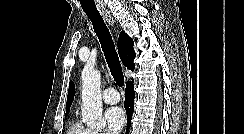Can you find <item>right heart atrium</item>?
Masks as SVG:
<instances>
[{
  "mask_svg": "<svg viewBox=\"0 0 244 134\" xmlns=\"http://www.w3.org/2000/svg\"><path fill=\"white\" fill-rule=\"evenodd\" d=\"M94 134H108V133H106V132H101V133H99V132H94Z\"/></svg>",
  "mask_w": 244,
  "mask_h": 134,
  "instance_id": "obj_1",
  "label": "right heart atrium"
}]
</instances>
